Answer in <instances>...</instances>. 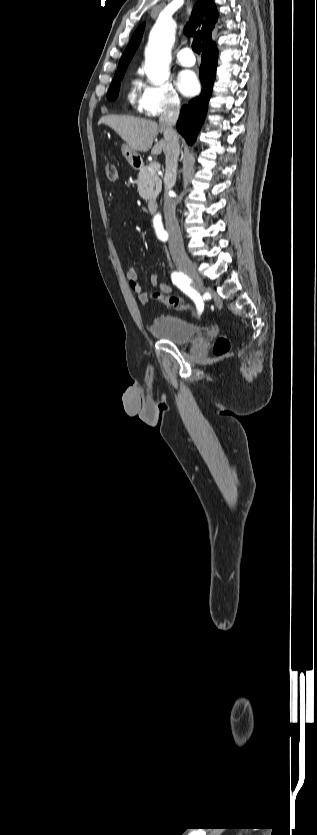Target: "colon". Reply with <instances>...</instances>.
Here are the masks:
<instances>
[{
  "label": "colon",
  "instance_id": "obj_1",
  "mask_svg": "<svg viewBox=\"0 0 317 835\" xmlns=\"http://www.w3.org/2000/svg\"><path fill=\"white\" fill-rule=\"evenodd\" d=\"M105 175L107 179L111 182H115L118 177V172L116 166L112 163H108L105 166ZM152 299L162 302L168 307L174 308L176 310H186L190 308L182 298L176 295H165L161 292H153L151 294ZM230 351V342L225 337L218 338L213 346V353L217 357H223L227 355Z\"/></svg>",
  "mask_w": 317,
  "mask_h": 835
}]
</instances>
